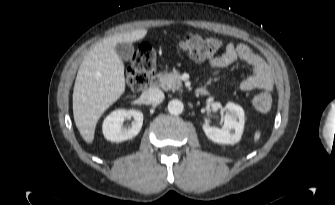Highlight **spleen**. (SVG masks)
Instances as JSON below:
<instances>
[{
	"label": "spleen",
	"mask_w": 335,
	"mask_h": 205,
	"mask_svg": "<svg viewBox=\"0 0 335 205\" xmlns=\"http://www.w3.org/2000/svg\"><path fill=\"white\" fill-rule=\"evenodd\" d=\"M260 138V131H256L254 135V140L257 141Z\"/></svg>",
	"instance_id": "3e777b00"
}]
</instances>
